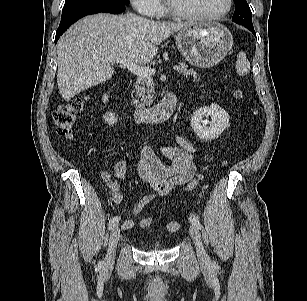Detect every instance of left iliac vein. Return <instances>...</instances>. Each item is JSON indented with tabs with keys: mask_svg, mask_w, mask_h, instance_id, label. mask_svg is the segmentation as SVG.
Returning a JSON list of instances; mask_svg holds the SVG:
<instances>
[{
	"mask_svg": "<svg viewBox=\"0 0 307 301\" xmlns=\"http://www.w3.org/2000/svg\"><path fill=\"white\" fill-rule=\"evenodd\" d=\"M189 233L192 240L195 243L197 257L201 263H206L209 260L208 254L203 246L201 235L198 228L194 225H191L189 228Z\"/></svg>",
	"mask_w": 307,
	"mask_h": 301,
	"instance_id": "obj_1",
	"label": "left iliac vein"
}]
</instances>
